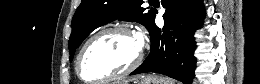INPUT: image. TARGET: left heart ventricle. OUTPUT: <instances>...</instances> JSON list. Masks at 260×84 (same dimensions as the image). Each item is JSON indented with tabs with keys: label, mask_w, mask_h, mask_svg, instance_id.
Returning <instances> with one entry per match:
<instances>
[{
	"label": "left heart ventricle",
	"mask_w": 260,
	"mask_h": 84,
	"mask_svg": "<svg viewBox=\"0 0 260 84\" xmlns=\"http://www.w3.org/2000/svg\"><path fill=\"white\" fill-rule=\"evenodd\" d=\"M137 38L117 32L102 34L88 48L81 73L88 80H98L126 69L136 58Z\"/></svg>",
	"instance_id": "obj_1"
}]
</instances>
